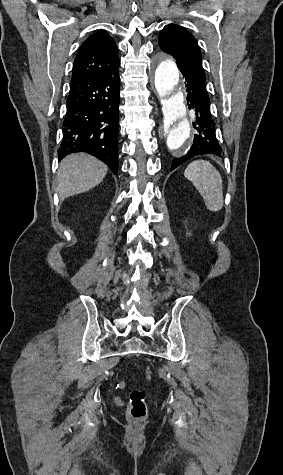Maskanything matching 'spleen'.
<instances>
[{
    "mask_svg": "<svg viewBox=\"0 0 283 475\" xmlns=\"http://www.w3.org/2000/svg\"><path fill=\"white\" fill-rule=\"evenodd\" d=\"M184 176L201 194L205 206L210 212L222 210L224 204L222 178L210 162H206V160L191 162L187 166Z\"/></svg>",
    "mask_w": 283,
    "mask_h": 475,
    "instance_id": "1",
    "label": "spleen"
}]
</instances>
